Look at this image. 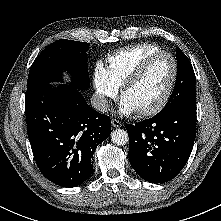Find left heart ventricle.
<instances>
[{"mask_svg": "<svg viewBox=\"0 0 221 221\" xmlns=\"http://www.w3.org/2000/svg\"><path fill=\"white\" fill-rule=\"evenodd\" d=\"M173 66L168 57L155 59L135 84L124 94L137 111L154 106L165 93L171 80Z\"/></svg>", "mask_w": 221, "mask_h": 221, "instance_id": "1", "label": "left heart ventricle"}]
</instances>
